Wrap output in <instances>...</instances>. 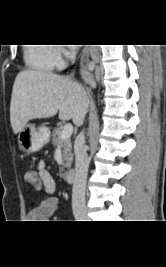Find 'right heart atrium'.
I'll return each mask as SVG.
<instances>
[{
	"mask_svg": "<svg viewBox=\"0 0 166 267\" xmlns=\"http://www.w3.org/2000/svg\"><path fill=\"white\" fill-rule=\"evenodd\" d=\"M56 53L58 54V56L60 58V56H67L69 54V51L65 47H58L56 49Z\"/></svg>",
	"mask_w": 166,
	"mask_h": 267,
	"instance_id": "d8ad5b80",
	"label": "right heart atrium"
}]
</instances>
